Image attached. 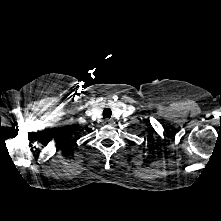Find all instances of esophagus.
Here are the masks:
<instances>
[{
	"label": "esophagus",
	"mask_w": 221,
	"mask_h": 221,
	"mask_svg": "<svg viewBox=\"0 0 221 221\" xmlns=\"http://www.w3.org/2000/svg\"><path fill=\"white\" fill-rule=\"evenodd\" d=\"M104 123H105V125H112L113 121L110 120V119H106V120L104 121Z\"/></svg>",
	"instance_id": "obj_1"
}]
</instances>
